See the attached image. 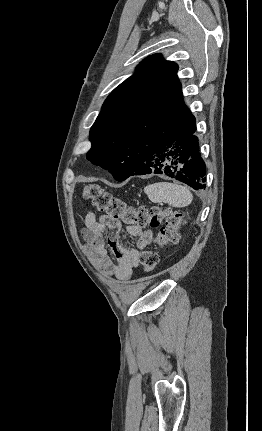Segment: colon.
<instances>
[{
    "instance_id": "colon-1",
    "label": "colon",
    "mask_w": 262,
    "mask_h": 431,
    "mask_svg": "<svg viewBox=\"0 0 262 431\" xmlns=\"http://www.w3.org/2000/svg\"><path fill=\"white\" fill-rule=\"evenodd\" d=\"M84 197L100 212L107 216L121 220L125 225L145 227L157 226L165 219L155 238V248L143 250L139 254V265L145 272L156 269L159 261V252L168 245L179 240V228L182 214L176 210L159 208L147 209L144 207H128L124 201L113 196L97 184H88L84 187Z\"/></svg>"
}]
</instances>
